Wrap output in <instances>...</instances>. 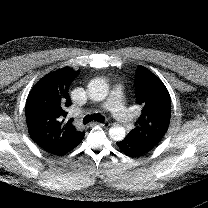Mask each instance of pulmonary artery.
Masks as SVG:
<instances>
[{
  "instance_id": "obj_1",
  "label": "pulmonary artery",
  "mask_w": 208,
  "mask_h": 208,
  "mask_svg": "<svg viewBox=\"0 0 208 208\" xmlns=\"http://www.w3.org/2000/svg\"><path fill=\"white\" fill-rule=\"evenodd\" d=\"M124 92L125 84L123 82L116 84L108 98L99 103V107L110 111L119 124L128 125L133 115L125 106Z\"/></svg>"
}]
</instances>
